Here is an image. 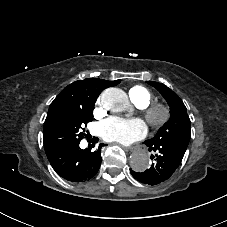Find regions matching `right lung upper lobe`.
<instances>
[{
    "label": "right lung upper lobe",
    "instance_id": "1",
    "mask_svg": "<svg viewBox=\"0 0 227 227\" xmlns=\"http://www.w3.org/2000/svg\"><path fill=\"white\" fill-rule=\"evenodd\" d=\"M121 80L107 81L97 78L78 80L65 87L55 98L58 100H71L77 102L96 101L101 91L107 87L115 86Z\"/></svg>",
    "mask_w": 227,
    "mask_h": 227
}]
</instances>
